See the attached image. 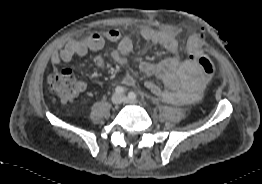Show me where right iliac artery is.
Masks as SVG:
<instances>
[{"label":"right iliac artery","instance_id":"right-iliac-artery-1","mask_svg":"<svg viewBox=\"0 0 262 184\" xmlns=\"http://www.w3.org/2000/svg\"><path fill=\"white\" fill-rule=\"evenodd\" d=\"M115 92L118 94H123L125 92V89L122 86H117L115 88Z\"/></svg>","mask_w":262,"mask_h":184}]
</instances>
